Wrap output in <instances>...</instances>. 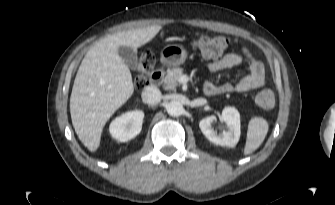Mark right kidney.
<instances>
[{
	"instance_id": "obj_1",
	"label": "right kidney",
	"mask_w": 335,
	"mask_h": 205,
	"mask_svg": "<svg viewBox=\"0 0 335 205\" xmlns=\"http://www.w3.org/2000/svg\"><path fill=\"white\" fill-rule=\"evenodd\" d=\"M143 118L144 112L141 110L124 113L111 122L109 132L114 139L127 142L140 133Z\"/></svg>"
}]
</instances>
